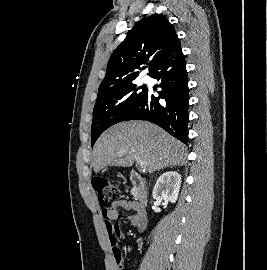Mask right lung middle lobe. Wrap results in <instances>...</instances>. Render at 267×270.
<instances>
[{"instance_id":"right-lung-middle-lobe-1","label":"right lung middle lobe","mask_w":267,"mask_h":270,"mask_svg":"<svg viewBox=\"0 0 267 270\" xmlns=\"http://www.w3.org/2000/svg\"><path fill=\"white\" fill-rule=\"evenodd\" d=\"M139 89H136L133 80L98 91L91 127V146L107 128L123 121L148 91L145 88L138 92ZM128 94L127 99L118 103Z\"/></svg>"}]
</instances>
